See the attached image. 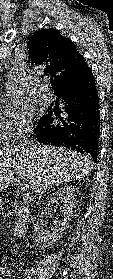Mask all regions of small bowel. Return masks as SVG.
Wrapping results in <instances>:
<instances>
[{
    "label": "small bowel",
    "mask_w": 113,
    "mask_h": 279,
    "mask_svg": "<svg viewBox=\"0 0 113 279\" xmlns=\"http://www.w3.org/2000/svg\"><path fill=\"white\" fill-rule=\"evenodd\" d=\"M7 274H8L7 269H5V268L0 269V279H3L4 277H6Z\"/></svg>",
    "instance_id": "small-bowel-1"
}]
</instances>
